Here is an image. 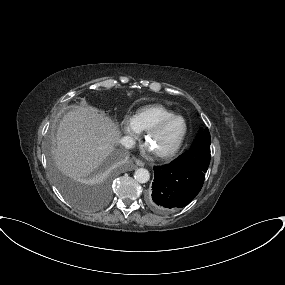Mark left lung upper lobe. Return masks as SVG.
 <instances>
[{"label": "left lung upper lobe", "mask_w": 285, "mask_h": 285, "mask_svg": "<svg viewBox=\"0 0 285 285\" xmlns=\"http://www.w3.org/2000/svg\"><path fill=\"white\" fill-rule=\"evenodd\" d=\"M210 142L211 138L208 129H201L191 148L173 161V163L191 166L206 173L210 163Z\"/></svg>", "instance_id": "1"}]
</instances>
